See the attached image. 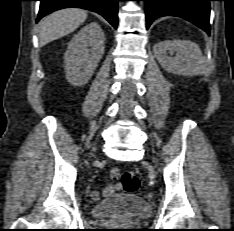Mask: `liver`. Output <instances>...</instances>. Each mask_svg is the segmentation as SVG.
<instances>
[{
    "instance_id": "6515ba94",
    "label": "liver",
    "mask_w": 234,
    "mask_h": 231,
    "mask_svg": "<svg viewBox=\"0 0 234 231\" xmlns=\"http://www.w3.org/2000/svg\"><path fill=\"white\" fill-rule=\"evenodd\" d=\"M86 18L87 12L77 8L62 9L48 15L39 24L40 46L73 32Z\"/></svg>"
}]
</instances>
